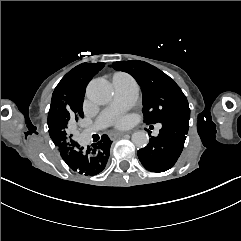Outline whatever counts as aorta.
I'll list each match as a JSON object with an SVG mask.
<instances>
[{
  "instance_id": "762f6f07",
  "label": "aorta",
  "mask_w": 241,
  "mask_h": 241,
  "mask_svg": "<svg viewBox=\"0 0 241 241\" xmlns=\"http://www.w3.org/2000/svg\"><path fill=\"white\" fill-rule=\"evenodd\" d=\"M112 94L111 84L103 78L93 79L88 84L86 90L89 100L99 105L107 104L111 100ZM131 139L133 144L138 148H144L149 143V135L143 130L133 133Z\"/></svg>"
}]
</instances>
